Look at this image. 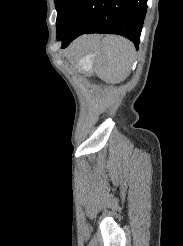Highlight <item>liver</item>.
<instances>
[{
    "label": "liver",
    "mask_w": 183,
    "mask_h": 246,
    "mask_svg": "<svg viewBox=\"0 0 183 246\" xmlns=\"http://www.w3.org/2000/svg\"><path fill=\"white\" fill-rule=\"evenodd\" d=\"M99 40L100 37L96 35L83 36L76 41L75 45L79 47L93 46L98 44Z\"/></svg>",
    "instance_id": "1"
}]
</instances>
